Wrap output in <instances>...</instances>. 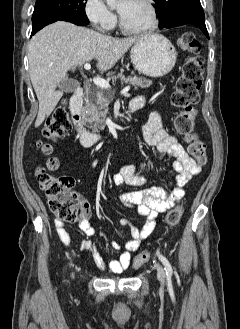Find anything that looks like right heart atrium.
Wrapping results in <instances>:
<instances>
[{"label": "right heart atrium", "mask_w": 240, "mask_h": 329, "mask_svg": "<svg viewBox=\"0 0 240 329\" xmlns=\"http://www.w3.org/2000/svg\"><path fill=\"white\" fill-rule=\"evenodd\" d=\"M84 13L95 29L100 32H107L116 24V15L104 0H85Z\"/></svg>", "instance_id": "right-heart-atrium-1"}]
</instances>
